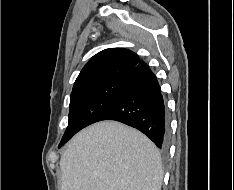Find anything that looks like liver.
Here are the masks:
<instances>
[{
  "label": "liver",
  "instance_id": "obj_1",
  "mask_svg": "<svg viewBox=\"0 0 234 190\" xmlns=\"http://www.w3.org/2000/svg\"><path fill=\"white\" fill-rule=\"evenodd\" d=\"M61 190H161L163 168L155 144L117 121L76 134L61 156Z\"/></svg>",
  "mask_w": 234,
  "mask_h": 190
}]
</instances>
